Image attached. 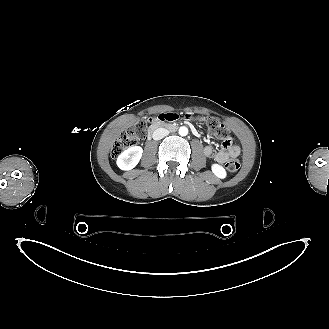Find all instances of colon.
Segmentation results:
<instances>
[{
    "label": "colon",
    "instance_id": "colon-1",
    "mask_svg": "<svg viewBox=\"0 0 329 329\" xmlns=\"http://www.w3.org/2000/svg\"><path fill=\"white\" fill-rule=\"evenodd\" d=\"M174 113V112H165ZM157 118V115L154 119ZM178 119V118H177ZM174 122V121H172ZM151 123V118L138 121L127 130L122 132L116 139L112 148V157L116 158L125 148L134 145L146 132ZM208 131L222 140L224 146H229L233 141V135L230 130L221 122L209 119L206 120ZM229 172H236L240 168V161L237 158H231L225 165Z\"/></svg>",
    "mask_w": 329,
    "mask_h": 329
}]
</instances>
